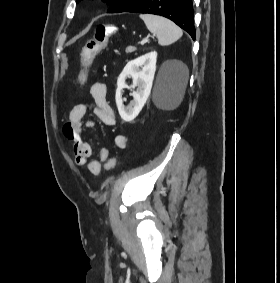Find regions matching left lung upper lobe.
Here are the masks:
<instances>
[{"mask_svg": "<svg viewBox=\"0 0 280 283\" xmlns=\"http://www.w3.org/2000/svg\"><path fill=\"white\" fill-rule=\"evenodd\" d=\"M79 1L81 0H76V2ZM104 1L110 5V8L107 11L108 13H119V12H125L127 9L132 7L140 0H104Z\"/></svg>", "mask_w": 280, "mask_h": 283, "instance_id": "obj_1", "label": "left lung upper lobe"}]
</instances>
